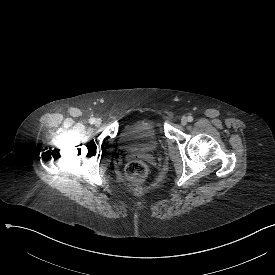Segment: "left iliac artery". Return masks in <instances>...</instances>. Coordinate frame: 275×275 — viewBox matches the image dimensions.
<instances>
[{"mask_svg": "<svg viewBox=\"0 0 275 275\" xmlns=\"http://www.w3.org/2000/svg\"><path fill=\"white\" fill-rule=\"evenodd\" d=\"M187 120H188L189 122H192V121H193V117H192V116H188Z\"/></svg>", "mask_w": 275, "mask_h": 275, "instance_id": "1", "label": "left iliac artery"}]
</instances>
